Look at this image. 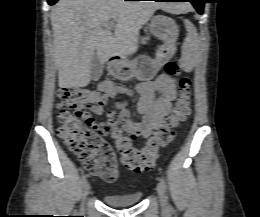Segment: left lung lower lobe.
<instances>
[{
  "label": "left lung lower lobe",
  "instance_id": "1",
  "mask_svg": "<svg viewBox=\"0 0 260 217\" xmlns=\"http://www.w3.org/2000/svg\"><path fill=\"white\" fill-rule=\"evenodd\" d=\"M154 1H170V2L188 1L194 5V7L196 8L199 14L203 13V8L205 3V0H154Z\"/></svg>",
  "mask_w": 260,
  "mask_h": 217
}]
</instances>
